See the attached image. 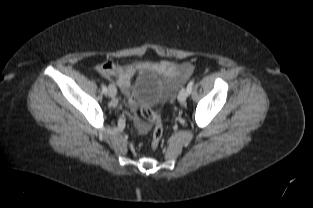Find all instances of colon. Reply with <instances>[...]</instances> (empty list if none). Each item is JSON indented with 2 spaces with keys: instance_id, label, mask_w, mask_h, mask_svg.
<instances>
[{
  "instance_id": "5ec220e1",
  "label": "colon",
  "mask_w": 313,
  "mask_h": 208,
  "mask_svg": "<svg viewBox=\"0 0 313 208\" xmlns=\"http://www.w3.org/2000/svg\"><path fill=\"white\" fill-rule=\"evenodd\" d=\"M139 111L143 118L149 120L153 124L151 147L153 150H155L159 147L163 136L161 118L149 106L146 105H141Z\"/></svg>"
}]
</instances>
